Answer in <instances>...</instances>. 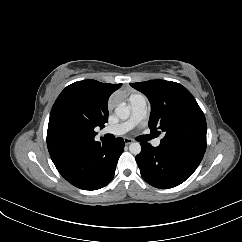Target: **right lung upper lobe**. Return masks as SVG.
<instances>
[{
  "label": "right lung upper lobe",
  "instance_id": "1",
  "mask_svg": "<svg viewBox=\"0 0 242 242\" xmlns=\"http://www.w3.org/2000/svg\"><path fill=\"white\" fill-rule=\"evenodd\" d=\"M121 85L83 80L60 93L52 107L47 130V146L53 162L95 141V127L103 128L108 122V98Z\"/></svg>",
  "mask_w": 242,
  "mask_h": 242
}]
</instances>
